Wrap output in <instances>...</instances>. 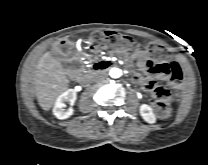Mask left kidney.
I'll use <instances>...</instances> for the list:
<instances>
[{
	"mask_svg": "<svg viewBox=\"0 0 208 165\" xmlns=\"http://www.w3.org/2000/svg\"><path fill=\"white\" fill-rule=\"evenodd\" d=\"M140 115L146 122L150 124L155 123L156 121V117L152 111V108L147 104H142L140 106Z\"/></svg>",
	"mask_w": 208,
	"mask_h": 165,
	"instance_id": "5707ae66",
	"label": "left kidney"
}]
</instances>
